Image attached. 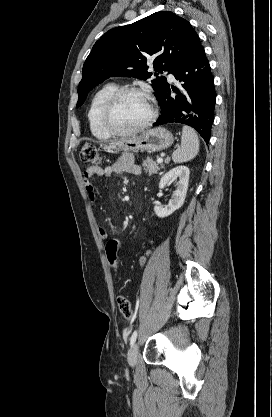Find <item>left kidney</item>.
Instances as JSON below:
<instances>
[{
  "label": "left kidney",
  "instance_id": "left-kidney-1",
  "mask_svg": "<svg viewBox=\"0 0 272 417\" xmlns=\"http://www.w3.org/2000/svg\"><path fill=\"white\" fill-rule=\"evenodd\" d=\"M189 174L190 171L188 167L177 166L161 177L159 182L160 189L165 188L172 179L178 178L179 181L177 184V189L173 192L172 198L168 205L165 207H162L161 205H155L154 212L159 218L167 217L182 207L188 190Z\"/></svg>",
  "mask_w": 272,
  "mask_h": 417
}]
</instances>
